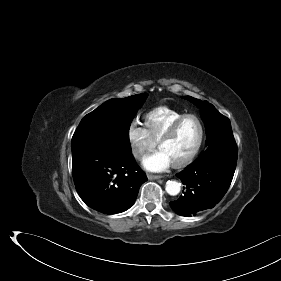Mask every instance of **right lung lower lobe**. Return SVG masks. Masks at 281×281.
Wrapping results in <instances>:
<instances>
[{"instance_id": "right-lung-lower-lobe-1", "label": "right lung lower lobe", "mask_w": 281, "mask_h": 281, "mask_svg": "<svg viewBox=\"0 0 281 281\" xmlns=\"http://www.w3.org/2000/svg\"><path fill=\"white\" fill-rule=\"evenodd\" d=\"M72 175L81 199L104 214L129 209L140 186L147 181L132 155L131 148L89 150L72 155Z\"/></svg>"}]
</instances>
